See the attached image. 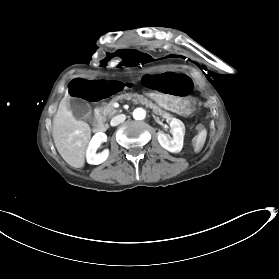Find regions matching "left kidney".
<instances>
[{
	"label": "left kidney",
	"mask_w": 279,
	"mask_h": 279,
	"mask_svg": "<svg viewBox=\"0 0 279 279\" xmlns=\"http://www.w3.org/2000/svg\"><path fill=\"white\" fill-rule=\"evenodd\" d=\"M169 125L173 137L160 131L158 132V141L166 150L173 153H179L183 148L185 126L182 121L176 118H172Z\"/></svg>",
	"instance_id": "1"
}]
</instances>
